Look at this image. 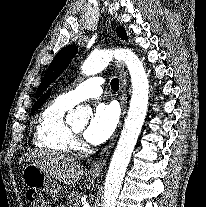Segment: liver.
Listing matches in <instances>:
<instances>
[{"label": "liver", "mask_w": 206, "mask_h": 207, "mask_svg": "<svg viewBox=\"0 0 206 207\" xmlns=\"http://www.w3.org/2000/svg\"><path fill=\"white\" fill-rule=\"evenodd\" d=\"M25 159L47 173L56 182L66 185L76 183L83 175V166L61 153L37 151L25 155Z\"/></svg>", "instance_id": "6515ba94"}]
</instances>
